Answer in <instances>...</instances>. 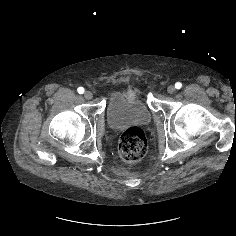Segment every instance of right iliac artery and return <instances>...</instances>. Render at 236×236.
<instances>
[{"label": "right iliac artery", "instance_id": "1", "mask_svg": "<svg viewBox=\"0 0 236 236\" xmlns=\"http://www.w3.org/2000/svg\"><path fill=\"white\" fill-rule=\"evenodd\" d=\"M77 91H78L79 94H83L84 93V88L83 87H79L77 89Z\"/></svg>", "mask_w": 236, "mask_h": 236}]
</instances>
